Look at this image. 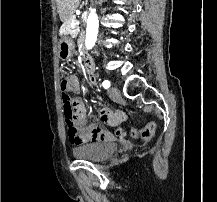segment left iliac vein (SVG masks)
Returning a JSON list of instances; mask_svg holds the SVG:
<instances>
[{"label": "left iliac vein", "instance_id": "left-iliac-vein-1", "mask_svg": "<svg viewBox=\"0 0 217 202\" xmlns=\"http://www.w3.org/2000/svg\"><path fill=\"white\" fill-rule=\"evenodd\" d=\"M108 94L110 96V98L112 99H116L120 97V92L116 87H110L108 90Z\"/></svg>", "mask_w": 217, "mask_h": 202}]
</instances>
